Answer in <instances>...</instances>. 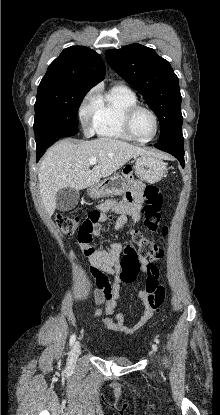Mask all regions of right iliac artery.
<instances>
[{
    "mask_svg": "<svg viewBox=\"0 0 220 415\" xmlns=\"http://www.w3.org/2000/svg\"><path fill=\"white\" fill-rule=\"evenodd\" d=\"M75 339H76V335L75 334L71 335L70 341H69L70 346L73 345V343L75 342Z\"/></svg>",
    "mask_w": 220,
    "mask_h": 415,
    "instance_id": "82829eb1",
    "label": "right iliac artery"
}]
</instances>
